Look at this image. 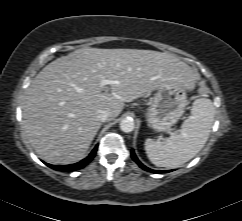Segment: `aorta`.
Masks as SVG:
<instances>
[{
    "mask_svg": "<svg viewBox=\"0 0 242 221\" xmlns=\"http://www.w3.org/2000/svg\"><path fill=\"white\" fill-rule=\"evenodd\" d=\"M135 128V123L133 121V119L131 118H124L123 120H121L120 122V129L125 132V133H129L132 132Z\"/></svg>",
    "mask_w": 242,
    "mask_h": 221,
    "instance_id": "obj_1",
    "label": "aorta"
}]
</instances>
